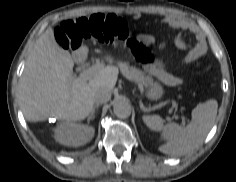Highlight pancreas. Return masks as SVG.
Instances as JSON below:
<instances>
[{
    "label": "pancreas",
    "mask_w": 236,
    "mask_h": 182,
    "mask_svg": "<svg viewBox=\"0 0 236 182\" xmlns=\"http://www.w3.org/2000/svg\"><path fill=\"white\" fill-rule=\"evenodd\" d=\"M120 69L124 77L139 85L148 86L153 82L149 76H146L143 71L135 67H130L127 64H121Z\"/></svg>",
    "instance_id": "pancreas-1"
}]
</instances>
